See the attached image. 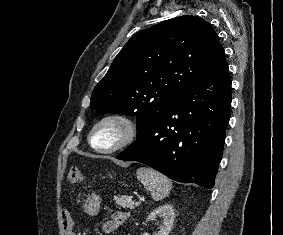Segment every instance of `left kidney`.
Wrapping results in <instances>:
<instances>
[{
  "label": "left kidney",
  "instance_id": "1",
  "mask_svg": "<svg viewBox=\"0 0 283 235\" xmlns=\"http://www.w3.org/2000/svg\"><path fill=\"white\" fill-rule=\"evenodd\" d=\"M160 217L162 219V224L159 227V231L154 235H168L172 229L174 222V209L171 204H164L155 210H153L147 217L148 220H154L155 218ZM148 235V234H142Z\"/></svg>",
  "mask_w": 283,
  "mask_h": 235
}]
</instances>
